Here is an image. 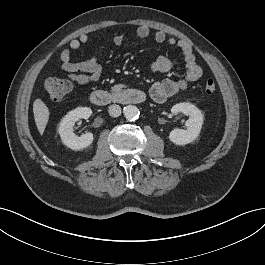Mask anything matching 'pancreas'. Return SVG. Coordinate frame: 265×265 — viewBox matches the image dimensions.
<instances>
[{
	"label": "pancreas",
	"instance_id": "obj_1",
	"mask_svg": "<svg viewBox=\"0 0 265 265\" xmlns=\"http://www.w3.org/2000/svg\"><path fill=\"white\" fill-rule=\"evenodd\" d=\"M113 90L114 91H120L121 90V86L116 85V86L113 87Z\"/></svg>",
	"mask_w": 265,
	"mask_h": 265
}]
</instances>
